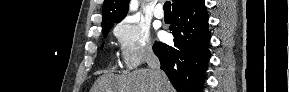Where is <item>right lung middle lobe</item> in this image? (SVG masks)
<instances>
[{"mask_svg":"<svg viewBox=\"0 0 289 92\" xmlns=\"http://www.w3.org/2000/svg\"><path fill=\"white\" fill-rule=\"evenodd\" d=\"M113 25H114V24L102 28V29H103V36H104V37L107 36L108 32H109L110 29L113 27ZM102 47H103V45H102Z\"/></svg>","mask_w":289,"mask_h":92,"instance_id":"1","label":"right lung middle lobe"}]
</instances>
